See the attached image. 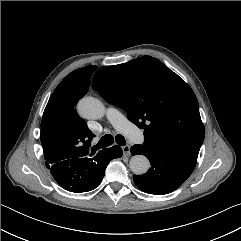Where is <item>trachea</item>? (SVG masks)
Instances as JSON below:
<instances>
[{"instance_id": "obj_1", "label": "trachea", "mask_w": 241, "mask_h": 241, "mask_svg": "<svg viewBox=\"0 0 241 241\" xmlns=\"http://www.w3.org/2000/svg\"><path fill=\"white\" fill-rule=\"evenodd\" d=\"M115 141L120 146L126 145L125 138L121 134L116 135ZM113 142H114L113 136L110 134H106L100 139V141L96 145V148L100 149V148L108 147V146L112 145Z\"/></svg>"}]
</instances>
